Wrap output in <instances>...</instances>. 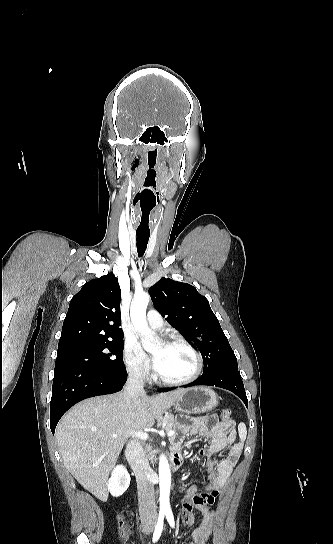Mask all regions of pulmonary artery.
Wrapping results in <instances>:
<instances>
[{"instance_id":"e3ab8cb5","label":"pulmonary artery","mask_w":333,"mask_h":544,"mask_svg":"<svg viewBox=\"0 0 333 544\" xmlns=\"http://www.w3.org/2000/svg\"><path fill=\"white\" fill-rule=\"evenodd\" d=\"M148 325L155 330H162L164 328V321L162 316L155 310H150L147 314Z\"/></svg>"}]
</instances>
